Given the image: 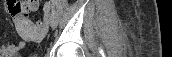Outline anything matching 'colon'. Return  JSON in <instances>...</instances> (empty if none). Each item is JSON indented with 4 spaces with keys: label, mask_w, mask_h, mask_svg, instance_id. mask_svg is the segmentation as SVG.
Segmentation results:
<instances>
[{
    "label": "colon",
    "mask_w": 172,
    "mask_h": 57,
    "mask_svg": "<svg viewBox=\"0 0 172 57\" xmlns=\"http://www.w3.org/2000/svg\"><path fill=\"white\" fill-rule=\"evenodd\" d=\"M12 15V13H11ZM38 27L41 28V29H44L45 28V25L43 24V22H38Z\"/></svg>",
    "instance_id": "colon-1"
}]
</instances>
